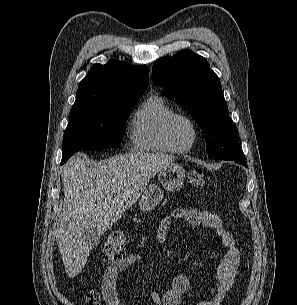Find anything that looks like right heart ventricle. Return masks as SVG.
Here are the masks:
<instances>
[{"mask_svg": "<svg viewBox=\"0 0 297 305\" xmlns=\"http://www.w3.org/2000/svg\"><path fill=\"white\" fill-rule=\"evenodd\" d=\"M174 113V108L162 96L152 95L145 99L131 122L132 149L140 152H177L164 133L165 122Z\"/></svg>", "mask_w": 297, "mask_h": 305, "instance_id": "e07e8e85", "label": "right heart ventricle"}]
</instances>
